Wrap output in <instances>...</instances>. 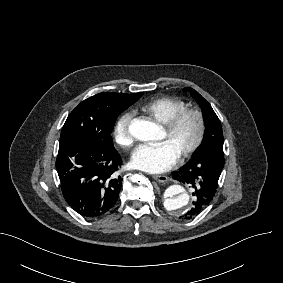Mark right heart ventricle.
I'll list each match as a JSON object with an SVG mask.
<instances>
[{"instance_id":"1","label":"right heart ventricle","mask_w":283,"mask_h":283,"mask_svg":"<svg viewBox=\"0 0 283 283\" xmlns=\"http://www.w3.org/2000/svg\"><path fill=\"white\" fill-rule=\"evenodd\" d=\"M187 108V103L178 97L162 96L146 101L137 111L165 125L170 117Z\"/></svg>"}]
</instances>
